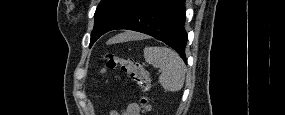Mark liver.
<instances>
[{"mask_svg":"<svg viewBox=\"0 0 285 115\" xmlns=\"http://www.w3.org/2000/svg\"><path fill=\"white\" fill-rule=\"evenodd\" d=\"M124 36H125V39L141 37L140 34H136V33H128V34H125ZM111 42H115V41L112 40Z\"/></svg>","mask_w":285,"mask_h":115,"instance_id":"obj_1","label":"liver"}]
</instances>
